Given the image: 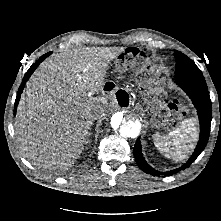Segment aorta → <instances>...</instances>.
I'll return each mask as SVG.
<instances>
[{
	"mask_svg": "<svg viewBox=\"0 0 221 221\" xmlns=\"http://www.w3.org/2000/svg\"><path fill=\"white\" fill-rule=\"evenodd\" d=\"M141 127V119L136 114L117 112L111 118L113 132L124 139L136 138Z\"/></svg>",
	"mask_w": 221,
	"mask_h": 221,
	"instance_id": "1",
	"label": "aorta"
}]
</instances>
